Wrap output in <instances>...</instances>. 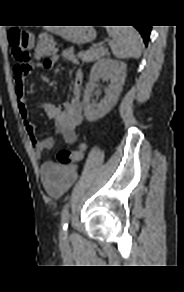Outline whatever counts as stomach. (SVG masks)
<instances>
[{"instance_id": "stomach-1", "label": "stomach", "mask_w": 184, "mask_h": 292, "mask_svg": "<svg viewBox=\"0 0 184 292\" xmlns=\"http://www.w3.org/2000/svg\"><path fill=\"white\" fill-rule=\"evenodd\" d=\"M57 30L62 38L76 44L86 43L95 38L94 30L88 27L62 26Z\"/></svg>"}]
</instances>
